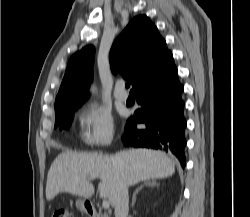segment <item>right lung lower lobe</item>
I'll return each instance as SVG.
<instances>
[{
    "label": "right lung lower lobe",
    "mask_w": 250,
    "mask_h": 217,
    "mask_svg": "<svg viewBox=\"0 0 250 217\" xmlns=\"http://www.w3.org/2000/svg\"><path fill=\"white\" fill-rule=\"evenodd\" d=\"M184 87L178 80V72L170 54L164 63L135 88L141 108L127 120L122 136L125 146L164 149L172 153L184 168L186 146ZM137 123L146 128L137 130Z\"/></svg>",
    "instance_id": "98d812e1"
}]
</instances>
